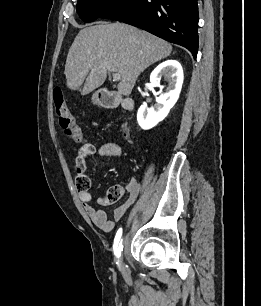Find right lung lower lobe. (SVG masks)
Masks as SVG:
<instances>
[{"mask_svg":"<svg viewBox=\"0 0 261 306\" xmlns=\"http://www.w3.org/2000/svg\"><path fill=\"white\" fill-rule=\"evenodd\" d=\"M100 18L121 21L198 51L197 0H122Z\"/></svg>","mask_w":261,"mask_h":306,"instance_id":"98d812e1","label":"right lung lower lobe"}]
</instances>
